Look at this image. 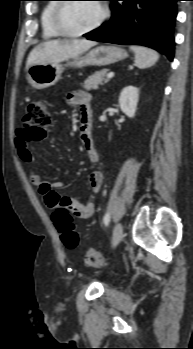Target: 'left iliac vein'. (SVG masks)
Masks as SVG:
<instances>
[{
  "label": "left iliac vein",
  "instance_id": "obj_1",
  "mask_svg": "<svg viewBox=\"0 0 193 349\" xmlns=\"http://www.w3.org/2000/svg\"><path fill=\"white\" fill-rule=\"evenodd\" d=\"M123 237V227L121 223H117L112 233V246L115 247Z\"/></svg>",
  "mask_w": 193,
  "mask_h": 349
}]
</instances>
